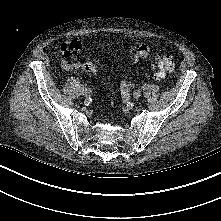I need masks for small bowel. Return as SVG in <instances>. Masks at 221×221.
<instances>
[{
	"label": "small bowel",
	"mask_w": 221,
	"mask_h": 221,
	"mask_svg": "<svg viewBox=\"0 0 221 221\" xmlns=\"http://www.w3.org/2000/svg\"><path fill=\"white\" fill-rule=\"evenodd\" d=\"M84 49L82 43L78 41H72L69 43L61 44L60 51L63 54L64 58L61 61V67L65 71H76L82 68V64L79 62H70L69 57L75 52H81Z\"/></svg>",
	"instance_id": "small-bowel-1"
}]
</instances>
